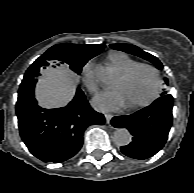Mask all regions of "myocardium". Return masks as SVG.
I'll use <instances>...</instances> for the list:
<instances>
[{"label":"myocardium","mask_w":194,"mask_h":193,"mask_svg":"<svg viewBox=\"0 0 194 193\" xmlns=\"http://www.w3.org/2000/svg\"><path fill=\"white\" fill-rule=\"evenodd\" d=\"M148 69L150 70L153 75H154V79H155V84H154V88L152 93L149 95L148 98H146L145 100L136 103V104H132V105H125L127 109L129 110H135V109H139L145 106H148L149 104H151L153 102V100L157 97V95L159 94V91L161 89V77H160V73L157 70L156 67H154L151 64H147V63H137L134 66H132L131 68L127 69L126 71L121 73V77L123 79H127L129 78L133 73H135L138 69Z\"/></svg>","instance_id":"myocardium-1"}]
</instances>
